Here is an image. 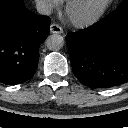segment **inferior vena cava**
<instances>
[{"mask_svg":"<svg viewBox=\"0 0 128 128\" xmlns=\"http://www.w3.org/2000/svg\"><path fill=\"white\" fill-rule=\"evenodd\" d=\"M36 9L41 15H50L52 13V7L43 0H37Z\"/></svg>","mask_w":128,"mask_h":128,"instance_id":"602c4592","label":"inferior vena cava"}]
</instances>
